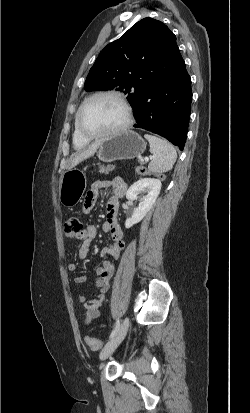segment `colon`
<instances>
[{
	"label": "colon",
	"instance_id": "5ec220e1",
	"mask_svg": "<svg viewBox=\"0 0 250 413\" xmlns=\"http://www.w3.org/2000/svg\"><path fill=\"white\" fill-rule=\"evenodd\" d=\"M136 172L138 174L146 175L147 177H152L154 175V178L159 183H164L166 181V176L163 171H156L154 173V170L152 168L137 166ZM80 229H82V223L77 217H71L65 222L64 232L65 235L70 239H79L80 237L78 236V231ZM84 341L91 349L94 350L99 349L102 346V340L98 338L85 336Z\"/></svg>",
	"mask_w": 250,
	"mask_h": 413
}]
</instances>
